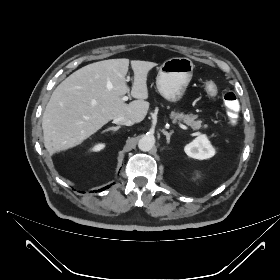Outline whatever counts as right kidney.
Wrapping results in <instances>:
<instances>
[{"label": "right kidney", "instance_id": "obj_1", "mask_svg": "<svg viewBox=\"0 0 280 280\" xmlns=\"http://www.w3.org/2000/svg\"><path fill=\"white\" fill-rule=\"evenodd\" d=\"M104 147H105V145L103 143H99V144H96L91 150L97 152V151L102 150Z\"/></svg>", "mask_w": 280, "mask_h": 280}]
</instances>
